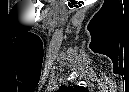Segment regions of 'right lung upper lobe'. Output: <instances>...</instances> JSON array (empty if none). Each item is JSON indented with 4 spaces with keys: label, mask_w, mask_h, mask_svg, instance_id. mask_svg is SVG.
<instances>
[{
    "label": "right lung upper lobe",
    "mask_w": 129,
    "mask_h": 92,
    "mask_svg": "<svg viewBox=\"0 0 129 92\" xmlns=\"http://www.w3.org/2000/svg\"><path fill=\"white\" fill-rule=\"evenodd\" d=\"M79 91L81 90L79 86L73 85V86H61L58 90V92H71V91Z\"/></svg>",
    "instance_id": "cb5924a9"
}]
</instances>
